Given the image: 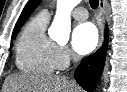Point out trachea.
<instances>
[{
    "instance_id": "3493384b",
    "label": "trachea",
    "mask_w": 127,
    "mask_h": 92,
    "mask_svg": "<svg viewBox=\"0 0 127 92\" xmlns=\"http://www.w3.org/2000/svg\"><path fill=\"white\" fill-rule=\"evenodd\" d=\"M90 6L92 9H96L99 5V1L98 0H89Z\"/></svg>"
}]
</instances>
